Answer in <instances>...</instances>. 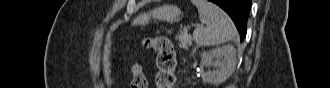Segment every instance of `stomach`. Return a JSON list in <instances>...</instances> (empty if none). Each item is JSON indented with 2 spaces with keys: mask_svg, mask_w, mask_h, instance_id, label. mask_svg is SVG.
Returning a JSON list of instances; mask_svg holds the SVG:
<instances>
[{
  "mask_svg": "<svg viewBox=\"0 0 330 88\" xmlns=\"http://www.w3.org/2000/svg\"><path fill=\"white\" fill-rule=\"evenodd\" d=\"M153 17L154 19H157L159 21H166L168 23H174L181 19L182 12L181 10L174 5H163L161 7H158L154 9L146 19V21H149V19Z\"/></svg>",
  "mask_w": 330,
  "mask_h": 88,
  "instance_id": "stomach-1",
  "label": "stomach"
}]
</instances>
